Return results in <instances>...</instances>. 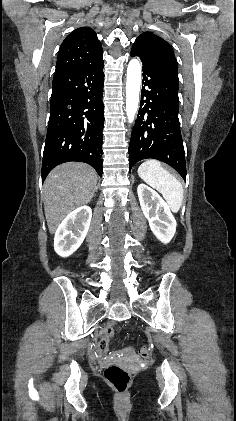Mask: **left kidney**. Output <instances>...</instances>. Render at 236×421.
Instances as JSON below:
<instances>
[{
	"label": "left kidney",
	"mask_w": 236,
	"mask_h": 421,
	"mask_svg": "<svg viewBox=\"0 0 236 421\" xmlns=\"http://www.w3.org/2000/svg\"><path fill=\"white\" fill-rule=\"evenodd\" d=\"M137 192L143 215L152 233L161 243H170L175 235L177 223L167 202L147 184H139Z\"/></svg>",
	"instance_id": "5707ae66"
}]
</instances>
